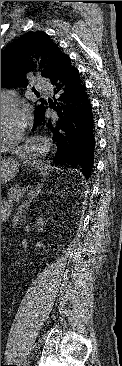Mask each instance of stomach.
I'll return each mask as SVG.
<instances>
[{
	"label": "stomach",
	"instance_id": "obj_1",
	"mask_svg": "<svg viewBox=\"0 0 122 366\" xmlns=\"http://www.w3.org/2000/svg\"><path fill=\"white\" fill-rule=\"evenodd\" d=\"M18 163L19 161L15 156L1 158V183H6L15 176Z\"/></svg>",
	"mask_w": 122,
	"mask_h": 366
}]
</instances>
